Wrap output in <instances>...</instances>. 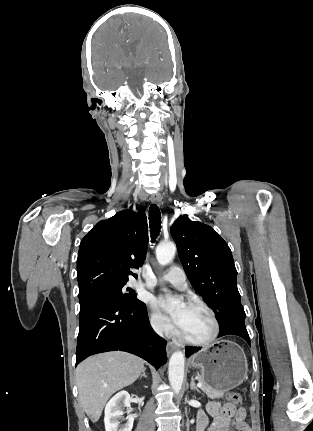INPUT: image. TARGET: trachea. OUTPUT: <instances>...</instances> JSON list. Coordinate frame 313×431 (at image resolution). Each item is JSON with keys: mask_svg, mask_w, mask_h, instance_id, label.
Masks as SVG:
<instances>
[{"mask_svg": "<svg viewBox=\"0 0 313 431\" xmlns=\"http://www.w3.org/2000/svg\"><path fill=\"white\" fill-rule=\"evenodd\" d=\"M149 224L151 241L154 242L161 229V213L156 204H152L149 208Z\"/></svg>", "mask_w": 313, "mask_h": 431, "instance_id": "trachea-1", "label": "trachea"}]
</instances>
